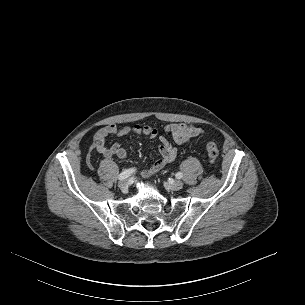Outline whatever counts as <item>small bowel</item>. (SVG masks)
<instances>
[{"label": "small bowel", "mask_w": 305, "mask_h": 305, "mask_svg": "<svg viewBox=\"0 0 305 305\" xmlns=\"http://www.w3.org/2000/svg\"><path fill=\"white\" fill-rule=\"evenodd\" d=\"M163 131L170 134L178 145H185L190 139L205 134L202 128L190 123H171L166 125ZM128 134L146 135L159 141V156L150 168L142 172L144 178L153 176L167 164L171 163L177 156V148L172 145L170 140L165 135L160 134L157 127L148 124H133L123 127H118L115 124L106 125L96 132L94 146L106 158L118 157L124 159L127 157V150L119 141L109 146L107 139L110 135L122 137Z\"/></svg>", "instance_id": "1"}]
</instances>
